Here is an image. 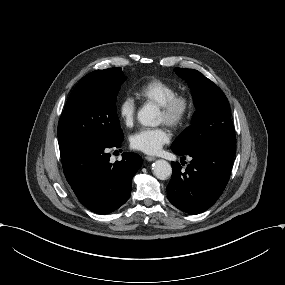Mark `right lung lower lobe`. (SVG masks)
Segmentation results:
<instances>
[{"mask_svg":"<svg viewBox=\"0 0 285 285\" xmlns=\"http://www.w3.org/2000/svg\"><path fill=\"white\" fill-rule=\"evenodd\" d=\"M112 144L80 143L60 148L65 177L79 201L90 211L108 214L122 206L130 197L132 178L142 160L134 153H123V158L110 164Z\"/></svg>","mask_w":285,"mask_h":285,"instance_id":"1","label":"right lung lower lobe"}]
</instances>
